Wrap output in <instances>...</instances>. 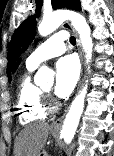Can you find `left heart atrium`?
Returning <instances> with one entry per match:
<instances>
[{
    "instance_id": "obj_1",
    "label": "left heart atrium",
    "mask_w": 114,
    "mask_h": 156,
    "mask_svg": "<svg viewBox=\"0 0 114 156\" xmlns=\"http://www.w3.org/2000/svg\"><path fill=\"white\" fill-rule=\"evenodd\" d=\"M80 72L78 60L73 55H68L56 64V82L54 92L58 97L64 98L73 91Z\"/></svg>"
}]
</instances>
